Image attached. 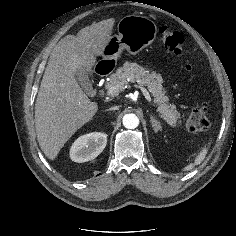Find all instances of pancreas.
Returning a JSON list of instances; mask_svg holds the SVG:
<instances>
[{"mask_svg":"<svg viewBox=\"0 0 236 236\" xmlns=\"http://www.w3.org/2000/svg\"><path fill=\"white\" fill-rule=\"evenodd\" d=\"M128 82H137L142 86H146L151 95L154 97V104L161 118H163L170 126L179 127L181 125L180 114L176 110L174 104H170L166 95V90L162 86V77L154 71H150L136 63L126 62L120 67L116 73L110 76V81L106 87L120 85V91H123Z\"/></svg>","mask_w":236,"mask_h":236,"instance_id":"pancreas-1","label":"pancreas"}]
</instances>
